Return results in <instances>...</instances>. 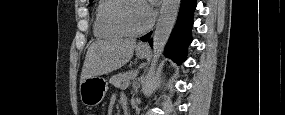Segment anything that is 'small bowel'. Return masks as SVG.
<instances>
[{
  "label": "small bowel",
  "mask_w": 285,
  "mask_h": 115,
  "mask_svg": "<svg viewBox=\"0 0 285 115\" xmlns=\"http://www.w3.org/2000/svg\"><path fill=\"white\" fill-rule=\"evenodd\" d=\"M113 104H114V100H112L110 106H109V113L111 114V111H112V108H113ZM122 104H123V107H127V102L125 99L122 100Z\"/></svg>",
  "instance_id": "obj_1"
}]
</instances>
